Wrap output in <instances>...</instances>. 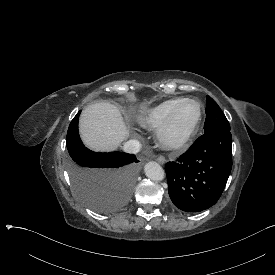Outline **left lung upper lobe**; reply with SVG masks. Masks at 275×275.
<instances>
[{"mask_svg": "<svg viewBox=\"0 0 275 275\" xmlns=\"http://www.w3.org/2000/svg\"><path fill=\"white\" fill-rule=\"evenodd\" d=\"M205 112L207 116L204 124V134L219 129H230L229 122L222 110L210 96H207V107Z\"/></svg>", "mask_w": 275, "mask_h": 275, "instance_id": "5c2ea615", "label": "left lung upper lobe"}]
</instances>
